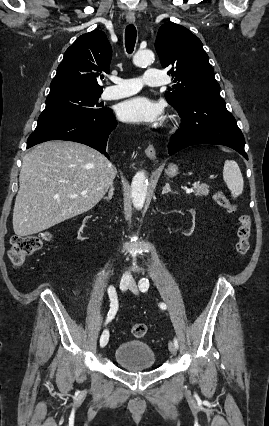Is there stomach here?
<instances>
[{"label": "stomach", "instance_id": "0dacf381", "mask_svg": "<svg viewBox=\"0 0 269 426\" xmlns=\"http://www.w3.org/2000/svg\"><path fill=\"white\" fill-rule=\"evenodd\" d=\"M165 174L169 177H174L178 174V167L177 165L171 163L168 165V168L165 170Z\"/></svg>", "mask_w": 269, "mask_h": 426}]
</instances>
